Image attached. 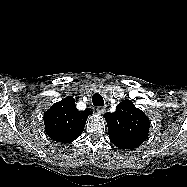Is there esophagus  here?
<instances>
[{
	"instance_id": "1",
	"label": "esophagus",
	"mask_w": 187,
	"mask_h": 187,
	"mask_svg": "<svg viewBox=\"0 0 187 187\" xmlns=\"http://www.w3.org/2000/svg\"><path fill=\"white\" fill-rule=\"evenodd\" d=\"M105 110H106L105 107H102V106H98V107H97V111H98V113H100V114H103V113L105 112Z\"/></svg>"
}]
</instances>
